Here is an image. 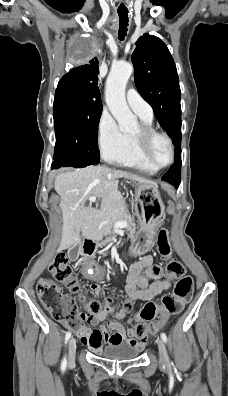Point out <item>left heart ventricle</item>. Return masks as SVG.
Segmentation results:
<instances>
[{
    "label": "left heart ventricle",
    "mask_w": 228,
    "mask_h": 396,
    "mask_svg": "<svg viewBox=\"0 0 228 396\" xmlns=\"http://www.w3.org/2000/svg\"><path fill=\"white\" fill-rule=\"evenodd\" d=\"M140 128L134 134L139 132ZM151 157L158 165L166 164L170 159V149L167 142L163 138L154 139L151 145Z\"/></svg>",
    "instance_id": "left-heart-ventricle-1"
}]
</instances>
